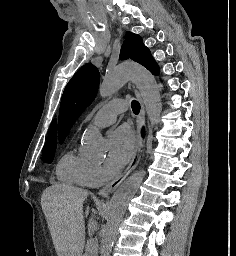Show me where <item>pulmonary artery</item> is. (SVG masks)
<instances>
[{"mask_svg": "<svg viewBox=\"0 0 236 256\" xmlns=\"http://www.w3.org/2000/svg\"><path fill=\"white\" fill-rule=\"evenodd\" d=\"M106 105L94 115L91 121V125L96 128H103L113 124L117 115L125 111V107H120L122 105L121 101H107Z\"/></svg>", "mask_w": 236, "mask_h": 256, "instance_id": "obj_1", "label": "pulmonary artery"}]
</instances>
